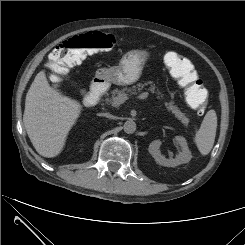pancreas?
<instances>
[{
  "label": "pancreas",
  "instance_id": "obj_1",
  "mask_svg": "<svg viewBox=\"0 0 245 245\" xmlns=\"http://www.w3.org/2000/svg\"><path fill=\"white\" fill-rule=\"evenodd\" d=\"M150 85L149 90L153 93H156L158 95V97L162 98L163 94L159 91L156 90L155 84H153V82H149V83H140L137 86H133L132 88H123L121 90L115 89L113 91H111V97L107 96L105 99V102L107 104H113L114 99L120 95H135L137 94V91H141L143 88H145V86ZM165 107L167 108L168 111L172 112L174 114V116L180 120L183 124H188L189 119L187 118V116L185 115V113L181 112V110L173 105V102H165Z\"/></svg>",
  "mask_w": 245,
  "mask_h": 245
}]
</instances>
